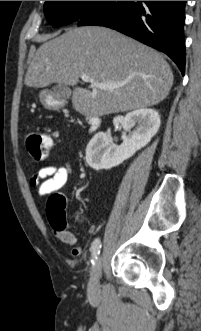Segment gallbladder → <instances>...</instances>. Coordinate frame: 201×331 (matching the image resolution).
Here are the masks:
<instances>
[{"label":"gallbladder","instance_id":"bac80fb5","mask_svg":"<svg viewBox=\"0 0 201 331\" xmlns=\"http://www.w3.org/2000/svg\"><path fill=\"white\" fill-rule=\"evenodd\" d=\"M70 93L69 87L64 84H57L52 88L53 96L58 99H68Z\"/></svg>","mask_w":201,"mask_h":331}]
</instances>
